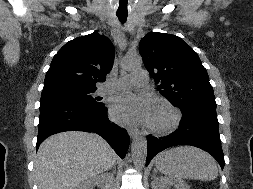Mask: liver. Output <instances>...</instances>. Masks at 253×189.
Here are the masks:
<instances>
[{"label":"liver","mask_w":253,"mask_h":189,"mask_svg":"<svg viewBox=\"0 0 253 189\" xmlns=\"http://www.w3.org/2000/svg\"><path fill=\"white\" fill-rule=\"evenodd\" d=\"M117 155L100 136L62 132L39 147L35 176L39 189H75L81 182L112 168Z\"/></svg>","instance_id":"obj_1"}]
</instances>
